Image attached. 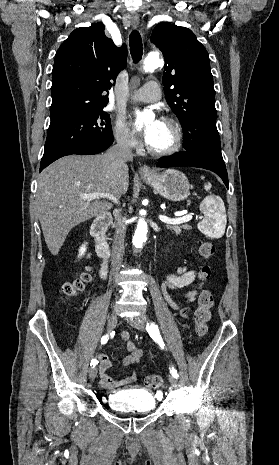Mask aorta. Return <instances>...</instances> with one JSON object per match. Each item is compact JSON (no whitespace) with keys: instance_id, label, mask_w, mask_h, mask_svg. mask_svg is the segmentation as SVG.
Returning <instances> with one entry per match:
<instances>
[{"instance_id":"obj_1","label":"aorta","mask_w":279,"mask_h":465,"mask_svg":"<svg viewBox=\"0 0 279 465\" xmlns=\"http://www.w3.org/2000/svg\"><path fill=\"white\" fill-rule=\"evenodd\" d=\"M160 63V59L158 54H151L149 55L144 61V70L146 72L152 71L158 64ZM149 118L148 113H141L137 111V122L139 126L143 125V123ZM147 223L144 219H139L137 228L135 230L132 243L135 247L140 248L143 243L147 239Z\"/></svg>"}]
</instances>
